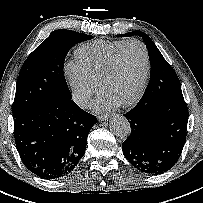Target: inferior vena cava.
<instances>
[{
  "label": "inferior vena cava",
  "mask_w": 203,
  "mask_h": 203,
  "mask_svg": "<svg viewBox=\"0 0 203 203\" xmlns=\"http://www.w3.org/2000/svg\"><path fill=\"white\" fill-rule=\"evenodd\" d=\"M90 96L88 94H77L74 96V101L80 107H86L89 102Z\"/></svg>",
  "instance_id": "1"
}]
</instances>
